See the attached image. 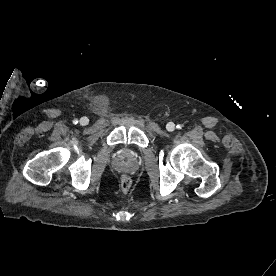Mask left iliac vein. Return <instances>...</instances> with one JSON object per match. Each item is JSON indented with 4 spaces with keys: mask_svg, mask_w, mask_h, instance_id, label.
<instances>
[{
    "mask_svg": "<svg viewBox=\"0 0 276 276\" xmlns=\"http://www.w3.org/2000/svg\"><path fill=\"white\" fill-rule=\"evenodd\" d=\"M166 128L168 131H173L175 129V124L170 122L167 124Z\"/></svg>",
    "mask_w": 276,
    "mask_h": 276,
    "instance_id": "left-iliac-vein-1",
    "label": "left iliac vein"
}]
</instances>
